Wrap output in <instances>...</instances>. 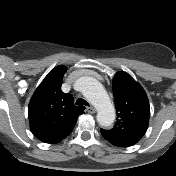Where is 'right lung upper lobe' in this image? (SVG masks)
<instances>
[{
    "label": "right lung upper lobe",
    "mask_w": 176,
    "mask_h": 176,
    "mask_svg": "<svg viewBox=\"0 0 176 176\" xmlns=\"http://www.w3.org/2000/svg\"><path fill=\"white\" fill-rule=\"evenodd\" d=\"M65 66L50 71L34 92L29 106L30 129L34 136L45 143H58L73 130L83 106H75L73 96L61 90Z\"/></svg>",
    "instance_id": "obj_1"
}]
</instances>
